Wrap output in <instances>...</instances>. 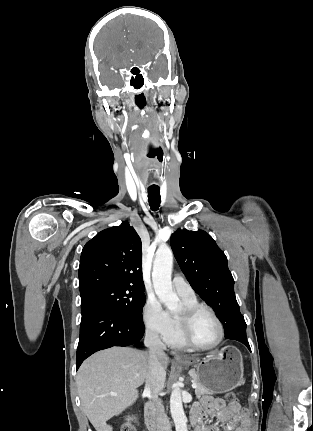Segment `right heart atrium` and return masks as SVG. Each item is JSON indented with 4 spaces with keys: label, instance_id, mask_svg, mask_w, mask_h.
<instances>
[{
    "label": "right heart atrium",
    "instance_id": "obj_1",
    "mask_svg": "<svg viewBox=\"0 0 313 431\" xmlns=\"http://www.w3.org/2000/svg\"><path fill=\"white\" fill-rule=\"evenodd\" d=\"M142 319L149 332L164 340L172 330L170 314L156 297H149L146 300L142 310Z\"/></svg>",
    "mask_w": 313,
    "mask_h": 431
}]
</instances>
